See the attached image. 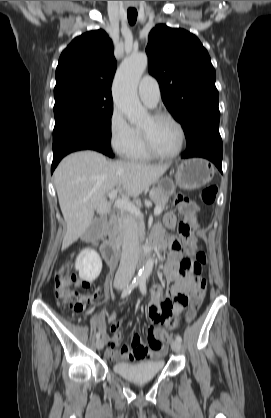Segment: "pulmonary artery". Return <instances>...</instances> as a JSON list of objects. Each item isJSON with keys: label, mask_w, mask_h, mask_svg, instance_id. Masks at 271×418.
<instances>
[{"label": "pulmonary artery", "mask_w": 271, "mask_h": 418, "mask_svg": "<svg viewBox=\"0 0 271 418\" xmlns=\"http://www.w3.org/2000/svg\"><path fill=\"white\" fill-rule=\"evenodd\" d=\"M138 94L141 101L149 107H154L160 99V88L157 80L150 76H144L138 86Z\"/></svg>", "instance_id": "1"}]
</instances>
